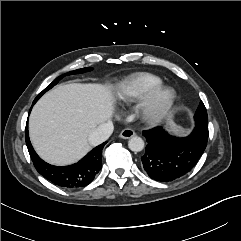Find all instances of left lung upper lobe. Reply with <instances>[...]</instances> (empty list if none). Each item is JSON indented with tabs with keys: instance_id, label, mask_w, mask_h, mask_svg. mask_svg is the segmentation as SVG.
Listing matches in <instances>:
<instances>
[{
	"instance_id": "left-lung-upper-lobe-1",
	"label": "left lung upper lobe",
	"mask_w": 241,
	"mask_h": 241,
	"mask_svg": "<svg viewBox=\"0 0 241 241\" xmlns=\"http://www.w3.org/2000/svg\"><path fill=\"white\" fill-rule=\"evenodd\" d=\"M194 119L196 126L200 127L203 131L208 133V116L206 108L202 101L200 102L196 110Z\"/></svg>"
}]
</instances>
